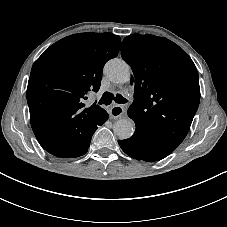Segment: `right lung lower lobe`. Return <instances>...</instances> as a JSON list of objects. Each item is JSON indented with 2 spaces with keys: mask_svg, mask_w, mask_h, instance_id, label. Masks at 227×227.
Returning <instances> with one entry per match:
<instances>
[{
  "mask_svg": "<svg viewBox=\"0 0 227 227\" xmlns=\"http://www.w3.org/2000/svg\"><path fill=\"white\" fill-rule=\"evenodd\" d=\"M83 130L86 131V129H83ZM88 135L89 136L86 137V141L84 142V145L82 147H80L79 149H74V150H71V151H68V152H62V151L53 150V149L52 150H46L45 148L44 149L47 152H49L50 154L57 156V157H62V158L79 157V156L84 155L89 148L90 141H91L93 133L90 132Z\"/></svg>",
  "mask_w": 227,
  "mask_h": 227,
  "instance_id": "right-lung-lower-lobe-1",
  "label": "right lung lower lobe"
}]
</instances>
